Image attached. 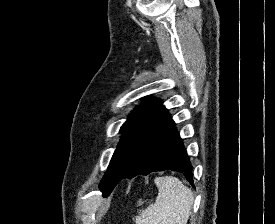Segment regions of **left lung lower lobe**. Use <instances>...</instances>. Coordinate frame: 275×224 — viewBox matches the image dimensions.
I'll return each mask as SVG.
<instances>
[{
  "label": "left lung lower lobe",
  "mask_w": 275,
  "mask_h": 224,
  "mask_svg": "<svg viewBox=\"0 0 275 224\" xmlns=\"http://www.w3.org/2000/svg\"><path fill=\"white\" fill-rule=\"evenodd\" d=\"M164 170L183 173L188 182L194 186L192 165L175 123L169 115L144 143L127 172L120 178H109L100 183V190L104 195H109L123 178Z\"/></svg>",
  "instance_id": "0a47b994"
}]
</instances>
